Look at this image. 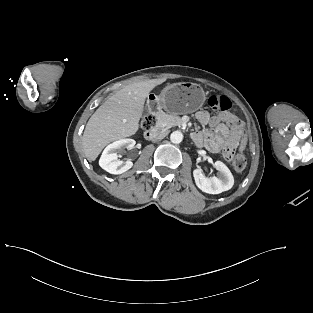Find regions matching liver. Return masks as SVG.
I'll list each match as a JSON object with an SVG mask.
<instances>
[{"mask_svg": "<svg viewBox=\"0 0 313 313\" xmlns=\"http://www.w3.org/2000/svg\"><path fill=\"white\" fill-rule=\"evenodd\" d=\"M165 81V78L151 79L127 85L95 111L82 137L84 153L89 161H94L110 142L138 131L146 97Z\"/></svg>", "mask_w": 313, "mask_h": 313, "instance_id": "1", "label": "liver"}]
</instances>
